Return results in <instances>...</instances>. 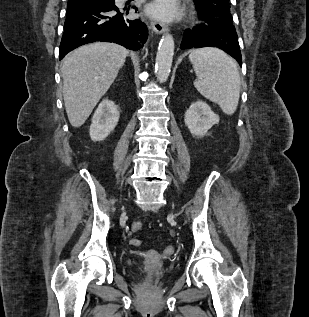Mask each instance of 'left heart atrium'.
<instances>
[{
	"instance_id": "obj_1",
	"label": "left heart atrium",
	"mask_w": 309,
	"mask_h": 317,
	"mask_svg": "<svg viewBox=\"0 0 309 317\" xmlns=\"http://www.w3.org/2000/svg\"><path fill=\"white\" fill-rule=\"evenodd\" d=\"M147 12L152 17L165 21L177 19L181 15L178 0H154Z\"/></svg>"
}]
</instances>
